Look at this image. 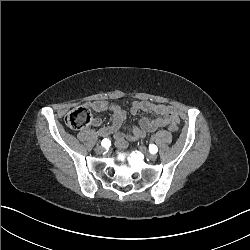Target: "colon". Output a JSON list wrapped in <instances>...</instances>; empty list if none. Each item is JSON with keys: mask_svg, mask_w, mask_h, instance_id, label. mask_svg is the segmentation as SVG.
Listing matches in <instances>:
<instances>
[{"mask_svg": "<svg viewBox=\"0 0 250 250\" xmlns=\"http://www.w3.org/2000/svg\"><path fill=\"white\" fill-rule=\"evenodd\" d=\"M64 121L68 128L77 131L87 127L91 123L92 114L86 107H75L65 115ZM168 129L174 134L179 130V127L176 124H172Z\"/></svg>", "mask_w": 250, "mask_h": 250, "instance_id": "obj_1", "label": "colon"}]
</instances>
